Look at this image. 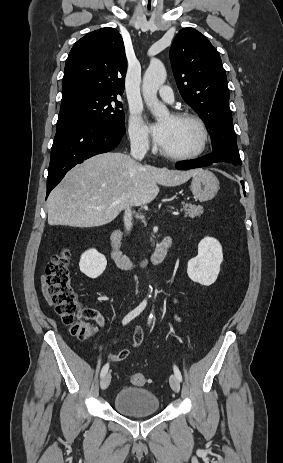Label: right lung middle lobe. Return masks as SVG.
I'll use <instances>...</instances> for the list:
<instances>
[{
  "mask_svg": "<svg viewBox=\"0 0 283 463\" xmlns=\"http://www.w3.org/2000/svg\"><path fill=\"white\" fill-rule=\"evenodd\" d=\"M122 103L117 96L85 95L61 104L56 131L75 125L94 123L125 130Z\"/></svg>",
  "mask_w": 283,
  "mask_h": 463,
  "instance_id": "right-lung-middle-lobe-1",
  "label": "right lung middle lobe"
}]
</instances>
